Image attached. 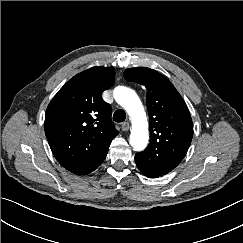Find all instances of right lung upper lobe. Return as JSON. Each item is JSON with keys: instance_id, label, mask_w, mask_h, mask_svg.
I'll return each mask as SVG.
<instances>
[{"instance_id": "cb5924a9", "label": "right lung upper lobe", "mask_w": 243, "mask_h": 243, "mask_svg": "<svg viewBox=\"0 0 243 243\" xmlns=\"http://www.w3.org/2000/svg\"><path fill=\"white\" fill-rule=\"evenodd\" d=\"M115 80L113 67L96 66L70 79L53 97L44 129L51 150L68 171L86 175L106 158L118 131L102 92Z\"/></svg>"}]
</instances>
